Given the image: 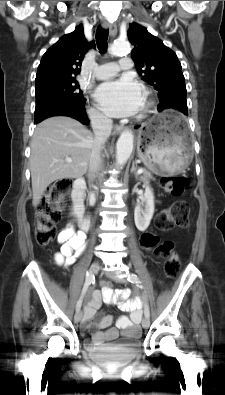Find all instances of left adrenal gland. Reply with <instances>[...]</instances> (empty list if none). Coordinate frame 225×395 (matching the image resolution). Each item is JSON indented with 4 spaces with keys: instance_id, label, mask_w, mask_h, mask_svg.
I'll use <instances>...</instances> for the list:
<instances>
[{
    "instance_id": "obj_1",
    "label": "left adrenal gland",
    "mask_w": 225,
    "mask_h": 395,
    "mask_svg": "<svg viewBox=\"0 0 225 395\" xmlns=\"http://www.w3.org/2000/svg\"><path fill=\"white\" fill-rule=\"evenodd\" d=\"M131 173H134L136 177L138 176L135 162L132 163Z\"/></svg>"
}]
</instances>
